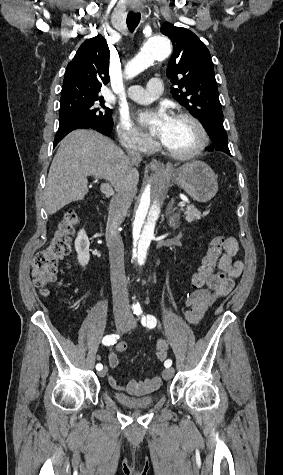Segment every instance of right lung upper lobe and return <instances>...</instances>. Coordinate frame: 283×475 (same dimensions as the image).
<instances>
[{
  "label": "right lung upper lobe",
  "mask_w": 283,
  "mask_h": 475,
  "mask_svg": "<svg viewBox=\"0 0 283 475\" xmlns=\"http://www.w3.org/2000/svg\"><path fill=\"white\" fill-rule=\"evenodd\" d=\"M109 54L101 35L85 40L67 65L61 94H98L110 80Z\"/></svg>",
  "instance_id": "cb5924a9"
}]
</instances>
